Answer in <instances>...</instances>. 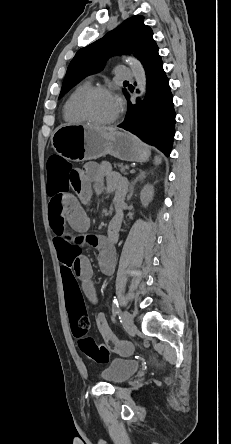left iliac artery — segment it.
Listing matches in <instances>:
<instances>
[{
    "label": "left iliac artery",
    "instance_id": "1",
    "mask_svg": "<svg viewBox=\"0 0 231 444\" xmlns=\"http://www.w3.org/2000/svg\"><path fill=\"white\" fill-rule=\"evenodd\" d=\"M117 313H119V303L118 299L114 297L113 299V315L115 316ZM114 320V317L112 318Z\"/></svg>",
    "mask_w": 231,
    "mask_h": 444
}]
</instances>
